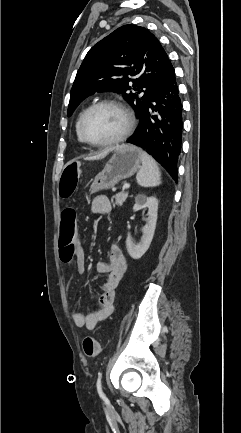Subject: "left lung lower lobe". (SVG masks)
<instances>
[{"label": "left lung lower lobe", "instance_id": "obj_1", "mask_svg": "<svg viewBox=\"0 0 241 433\" xmlns=\"http://www.w3.org/2000/svg\"><path fill=\"white\" fill-rule=\"evenodd\" d=\"M182 102L172 64L151 95L128 143L145 149L177 180V162L182 144Z\"/></svg>", "mask_w": 241, "mask_h": 433}]
</instances>
